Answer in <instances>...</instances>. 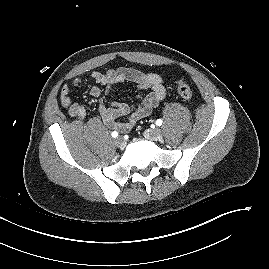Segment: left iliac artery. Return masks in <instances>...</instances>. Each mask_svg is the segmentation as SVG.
Returning a JSON list of instances; mask_svg holds the SVG:
<instances>
[{"mask_svg": "<svg viewBox=\"0 0 269 269\" xmlns=\"http://www.w3.org/2000/svg\"><path fill=\"white\" fill-rule=\"evenodd\" d=\"M162 123H163V121H162L161 119H158V120L156 121V125H157V126L162 125Z\"/></svg>", "mask_w": 269, "mask_h": 269, "instance_id": "1", "label": "left iliac artery"}]
</instances>
